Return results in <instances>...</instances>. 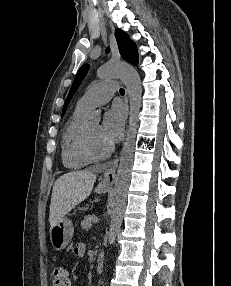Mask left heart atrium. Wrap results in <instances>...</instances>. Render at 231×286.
Instances as JSON below:
<instances>
[{
  "label": "left heart atrium",
  "instance_id": "left-heart-atrium-1",
  "mask_svg": "<svg viewBox=\"0 0 231 286\" xmlns=\"http://www.w3.org/2000/svg\"><path fill=\"white\" fill-rule=\"evenodd\" d=\"M125 111L121 106H114L106 112L99 127L102 140L110 147L118 142L124 130Z\"/></svg>",
  "mask_w": 231,
  "mask_h": 286
}]
</instances>
